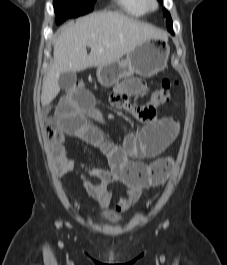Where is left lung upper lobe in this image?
Returning <instances> with one entry per match:
<instances>
[{
  "label": "left lung upper lobe",
  "mask_w": 227,
  "mask_h": 265,
  "mask_svg": "<svg viewBox=\"0 0 227 265\" xmlns=\"http://www.w3.org/2000/svg\"><path fill=\"white\" fill-rule=\"evenodd\" d=\"M158 1L162 2V0H158ZM164 16H166V18H167L166 25H167L168 30H172V19H171V16L167 10H164Z\"/></svg>",
  "instance_id": "1"
}]
</instances>
